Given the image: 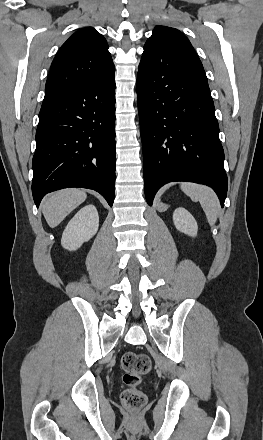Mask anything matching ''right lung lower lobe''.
Returning a JSON list of instances; mask_svg holds the SVG:
<instances>
[{
  "mask_svg": "<svg viewBox=\"0 0 263 440\" xmlns=\"http://www.w3.org/2000/svg\"><path fill=\"white\" fill-rule=\"evenodd\" d=\"M32 194L82 187L115 197L114 75L44 100L36 132Z\"/></svg>",
  "mask_w": 263,
  "mask_h": 440,
  "instance_id": "obj_1",
  "label": "right lung lower lobe"
}]
</instances>
